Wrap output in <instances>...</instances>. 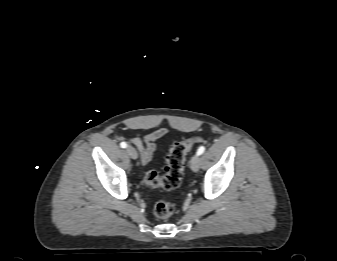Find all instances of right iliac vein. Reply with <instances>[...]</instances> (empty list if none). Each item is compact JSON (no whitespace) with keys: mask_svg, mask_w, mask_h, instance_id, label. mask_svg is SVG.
<instances>
[{"mask_svg":"<svg viewBox=\"0 0 337 261\" xmlns=\"http://www.w3.org/2000/svg\"><path fill=\"white\" fill-rule=\"evenodd\" d=\"M126 152L127 154L132 158V159H137L138 158V153L137 151L135 150V148L131 147V146H128L126 148Z\"/></svg>","mask_w":337,"mask_h":261,"instance_id":"1","label":"right iliac vein"}]
</instances>
